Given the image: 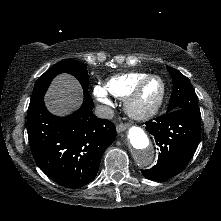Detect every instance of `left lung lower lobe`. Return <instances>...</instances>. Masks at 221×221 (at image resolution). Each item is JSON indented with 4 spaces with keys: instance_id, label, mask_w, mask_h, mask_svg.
<instances>
[{
    "instance_id": "left-lung-lower-lobe-1",
    "label": "left lung lower lobe",
    "mask_w": 221,
    "mask_h": 221,
    "mask_svg": "<svg viewBox=\"0 0 221 221\" xmlns=\"http://www.w3.org/2000/svg\"><path fill=\"white\" fill-rule=\"evenodd\" d=\"M146 130L160 147L157 164L141 170L150 180H165L179 174L188 164L201 138V117L177 109L146 122Z\"/></svg>"
}]
</instances>
